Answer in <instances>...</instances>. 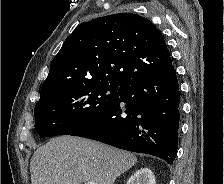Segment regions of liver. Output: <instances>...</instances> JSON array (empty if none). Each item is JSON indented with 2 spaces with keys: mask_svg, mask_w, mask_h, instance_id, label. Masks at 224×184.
Wrapping results in <instances>:
<instances>
[{
  "mask_svg": "<svg viewBox=\"0 0 224 184\" xmlns=\"http://www.w3.org/2000/svg\"><path fill=\"white\" fill-rule=\"evenodd\" d=\"M137 162L134 154L72 136L39 147L30 163L31 184H114Z\"/></svg>",
  "mask_w": 224,
  "mask_h": 184,
  "instance_id": "1",
  "label": "liver"
}]
</instances>
